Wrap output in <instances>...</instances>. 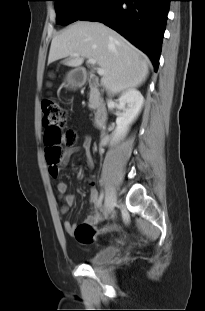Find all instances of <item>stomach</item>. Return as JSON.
I'll list each match as a JSON object with an SVG mask.
<instances>
[{"instance_id":"0dacf381","label":"stomach","mask_w":205,"mask_h":311,"mask_svg":"<svg viewBox=\"0 0 205 311\" xmlns=\"http://www.w3.org/2000/svg\"><path fill=\"white\" fill-rule=\"evenodd\" d=\"M84 81V75L77 70L69 72L66 77V82L70 87H80Z\"/></svg>"}]
</instances>
